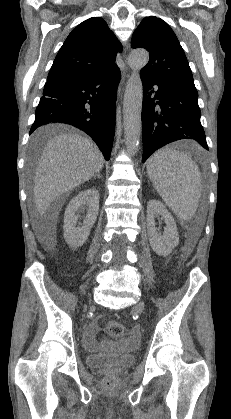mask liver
<instances>
[{
	"mask_svg": "<svg viewBox=\"0 0 231 419\" xmlns=\"http://www.w3.org/2000/svg\"><path fill=\"white\" fill-rule=\"evenodd\" d=\"M48 130V127H41L35 131L33 147V142H40ZM103 165L102 153L87 137L68 133L50 140L44 147L34 177V203L38 214L44 215L57 197L94 177ZM48 234L51 238L46 244L53 246L54 231Z\"/></svg>",
	"mask_w": 231,
	"mask_h": 419,
	"instance_id": "obj_1",
	"label": "liver"
}]
</instances>
